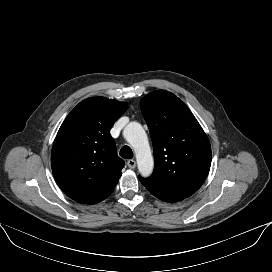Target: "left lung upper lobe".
Wrapping results in <instances>:
<instances>
[{"mask_svg": "<svg viewBox=\"0 0 272 272\" xmlns=\"http://www.w3.org/2000/svg\"><path fill=\"white\" fill-rule=\"evenodd\" d=\"M154 149V171L139 177L153 195L181 201L203 184L211 165V146L189 108L173 93L157 90L140 101Z\"/></svg>", "mask_w": 272, "mask_h": 272, "instance_id": "obj_1", "label": "left lung upper lobe"}]
</instances>
